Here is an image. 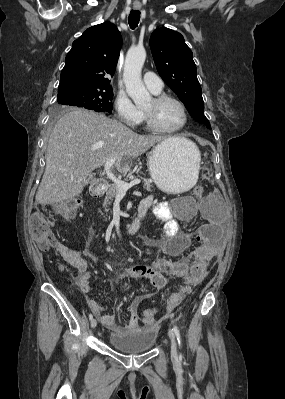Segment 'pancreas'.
<instances>
[{
  "label": "pancreas",
  "mask_w": 285,
  "mask_h": 399,
  "mask_svg": "<svg viewBox=\"0 0 285 399\" xmlns=\"http://www.w3.org/2000/svg\"><path fill=\"white\" fill-rule=\"evenodd\" d=\"M129 178H130V176H127L124 180L126 181ZM143 180H144V188L147 191L152 192L154 190V187L152 185V180L151 179H143ZM117 193H118V189H117L116 185H114V184L108 185L105 190L106 195H105L103 206L107 207L108 205H110L111 202L113 201V199L116 197Z\"/></svg>",
  "instance_id": "1"
}]
</instances>
